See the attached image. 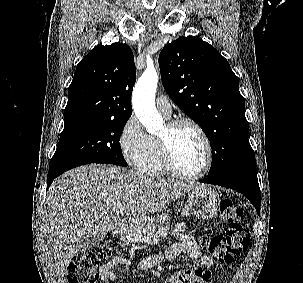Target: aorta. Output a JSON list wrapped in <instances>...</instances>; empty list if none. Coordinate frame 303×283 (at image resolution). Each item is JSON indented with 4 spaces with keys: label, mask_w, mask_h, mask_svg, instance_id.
Masks as SVG:
<instances>
[{
    "label": "aorta",
    "mask_w": 303,
    "mask_h": 283,
    "mask_svg": "<svg viewBox=\"0 0 303 283\" xmlns=\"http://www.w3.org/2000/svg\"><path fill=\"white\" fill-rule=\"evenodd\" d=\"M157 84L156 70L147 68L137 81L132 96L134 112L149 134H155L163 127V119L155 107Z\"/></svg>",
    "instance_id": "1"
}]
</instances>
